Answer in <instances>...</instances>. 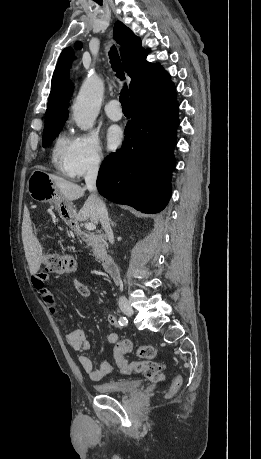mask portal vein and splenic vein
<instances>
[{
    "instance_id": "1",
    "label": "portal vein and splenic vein",
    "mask_w": 261,
    "mask_h": 459,
    "mask_svg": "<svg viewBox=\"0 0 261 459\" xmlns=\"http://www.w3.org/2000/svg\"><path fill=\"white\" fill-rule=\"evenodd\" d=\"M85 228H86L87 230H95V229H96V226H95L94 223H90V222H89V223H86V224H85Z\"/></svg>"
}]
</instances>
